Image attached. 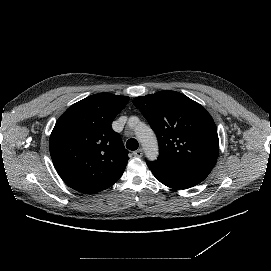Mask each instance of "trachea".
<instances>
[{
	"label": "trachea",
	"mask_w": 271,
	"mask_h": 271,
	"mask_svg": "<svg viewBox=\"0 0 271 271\" xmlns=\"http://www.w3.org/2000/svg\"><path fill=\"white\" fill-rule=\"evenodd\" d=\"M138 146H139V144L136 139L131 138L126 142V147L129 150H137Z\"/></svg>",
	"instance_id": "1"
}]
</instances>
